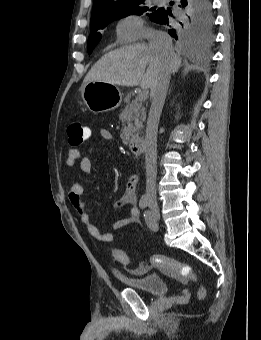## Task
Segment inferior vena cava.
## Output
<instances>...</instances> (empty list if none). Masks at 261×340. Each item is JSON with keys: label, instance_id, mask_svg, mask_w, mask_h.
I'll use <instances>...</instances> for the list:
<instances>
[{"label": "inferior vena cava", "instance_id": "1", "mask_svg": "<svg viewBox=\"0 0 261 340\" xmlns=\"http://www.w3.org/2000/svg\"><path fill=\"white\" fill-rule=\"evenodd\" d=\"M149 48L160 58H166L173 53L171 37L158 30L148 34ZM170 81V72H163L151 90V107L147 120L145 136V164H146V196L156 198L157 175V130L162 108Z\"/></svg>", "mask_w": 261, "mask_h": 340}]
</instances>
